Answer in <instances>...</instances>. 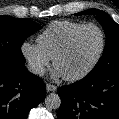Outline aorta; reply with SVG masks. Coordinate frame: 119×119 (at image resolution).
Segmentation results:
<instances>
[{
	"mask_svg": "<svg viewBox=\"0 0 119 119\" xmlns=\"http://www.w3.org/2000/svg\"><path fill=\"white\" fill-rule=\"evenodd\" d=\"M45 105L48 109H58L61 105V98L56 93H50L45 98Z\"/></svg>",
	"mask_w": 119,
	"mask_h": 119,
	"instance_id": "obj_1",
	"label": "aorta"
}]
</instances>
